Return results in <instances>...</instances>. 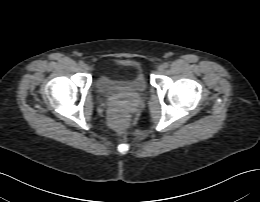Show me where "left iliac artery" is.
Masks as SVG:
<instances>
[{
  "label": "left iliac artery",
  "mask_w": 260,
  "mask_h": 202,
  "mask_svg": "<svg viewBox=\"0 0 260 202\" xmlns=\"http://www.w3.org/2000/svg\"><path fill=\"white\" fill-rule=\"evenodd\" d=\"M163 66H164L165 68H168V67H169V63H168V62H165V63L163 64Z\"/></svg>",
  "instance_id": "44dca946"
}]
</instances>
